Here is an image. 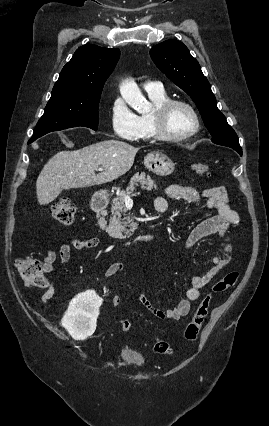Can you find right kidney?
<instances>
[{
	"instance_id": "right-kidney-1",
	"label": "right kidney",
	"mask_w": 269,
	"mask_h": 426,
	"mask_svg": "<svg viewBox=\"0 0 269 426\" xmlns=\"http://www.w3.org/2000/svg\"><path fill=\"white\" fill-rule=\"evenodd\" d=\"M101 302L93 291L79 294L71 301L62 326L75 340H85L95 332Z\"/></svg>"
}]
</instances>
